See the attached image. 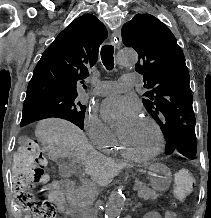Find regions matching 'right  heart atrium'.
<instances>
[{"mask_svg":"<svg viewBox=\"0 0 211 218\" xmlns=\"http://www.w3.org/2000/svg\"><path fill=\"white\" fill-rule=\"evenodd\" d=\"M84 127L90 140L97 148L101 149L114 140L112 133L101 123L98 116L92 111L86 112Z\"/></svg>","mask_w":211,"mask_h":218,"instance_id":"right-heart-atrium-1","label":"right heart atrium"}]
</instances>
